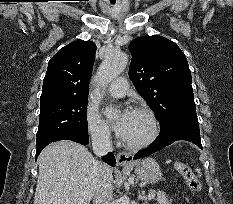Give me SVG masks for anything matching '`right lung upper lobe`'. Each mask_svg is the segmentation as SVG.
<instances>
[{
    "label": "right lung upper lobe",
    "instance_id": "1",
    "mask_svg": "<svg viewBox=\"0 0 233 204\" xmlns=\"http://www.w3.org/2000/svg\"><path fill=\"white\" fill-rule=\"evenodd\" d=\"M96 45L76 40L49 61L41 101L88 97V83L95 60Z\"/></svg>",
    "mask_w": 233,
    "mask_h": 204
}]
</instances>
